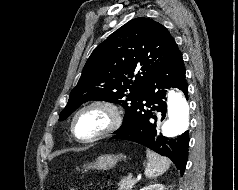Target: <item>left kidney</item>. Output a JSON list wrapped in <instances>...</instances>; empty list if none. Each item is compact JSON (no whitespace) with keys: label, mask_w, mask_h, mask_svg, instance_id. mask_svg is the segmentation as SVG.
I'll return each mask as SVG.
<instances>
[{"label":"left kidney","mask_w":238,"mask_h":190,"mask_svg":"<svg viewBox=\"0 0 238 190\" xmlns=\"http://www.w3.org/2000/svg\"><path fill=\"white\" fill-rule=\"evenodd\" d=\"M140 190H164V186L162 184L155 183V184L143 187Z\"/></svg>","instance_id":"1"}]
</instances>
